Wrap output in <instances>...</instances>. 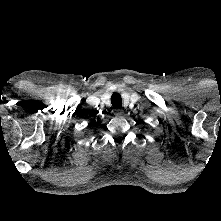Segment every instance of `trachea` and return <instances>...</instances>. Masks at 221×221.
I'll return each mask as SVG.
<instances>
[{
  "label": "trachea",
  "instance_id": "1",
  "mask_svg": "<svg viewBox=\"0 0 221 221\" xmlns=\"http://www.w3.org/2000/svg\"><path fill=\"white\" fill-rule=\"evenodd\" d=\"M111 103L113 107L120 108L122 106V98L119 93H113L111 96Z\"/></svg>",
  "mask_w": 221,
  "mask_h": 221
}]
</instances>
